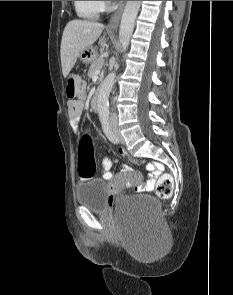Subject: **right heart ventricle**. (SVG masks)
<instances>
[{
    "mask_svg": "<svg viewBox=\"0 0 233 295\" xmlns=\"http://www.w3.org/2000/svg\"><path fill=\"white\" fill-rule=\"evenodd\" d=\"M77 15L85 19H96L99 17L103 5L101 1H73Z\"/></svg>",
    "mask_w": 233,
    "mask_h": 295,
    "instance_id": "obj_1",
    "label": "right heart ventricle"
}]
</instances>
